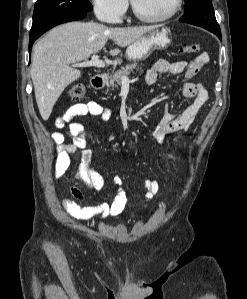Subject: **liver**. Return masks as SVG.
Wrapping results in <instances>:
<instances>
[{"label": "liver", "mask_w": 247, "mask_h": 299, "mask_svg": "<svg viewBox=\"0 0 247 299\" xmlns=\"http://www.w3.org/2000/svg\"><path fill=\"white\" fill-rule=\"evenodd\" d=\"M156 25L139 27H107L96 22H68L51 29L34 47L31 78L35 98L43 120H48L64 89L79 79L81 72L70 64L87 60L104 49L108 39L126 47ZM120 49L110 50L116 56Z\"/></svg>", "instance_id": "1"}]
</instances>
